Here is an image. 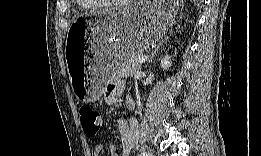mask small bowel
<instances>
[{
  "mask_svg": "<svg viewBox=\"0 0 261 156\" xmlns=\"http://www.w3.org/2000/svg\"><path fill=\"white\" fill-rule=\"evenodd\" d=\"M123 90V86L120 83H110L107 85L104 97L107 103L112 104L115 102L116 97ZM128 106L133 107L131 100L128 101ZM119 130L121 133V155L129 156L132 149L137 146L138 142V124L136 119H130L126 121L124 119L119 120ZM104 146L102 144L95 145L93 149V156H101L104 154ZM110 153L112 156L117 155L115 145L110 142Z\"/></svg>",
  "mask_w": 261,
  "mask_h": 156,
  "instance_id": "c3829d8e",
  "label": "small bowel"
}]
</instances>
